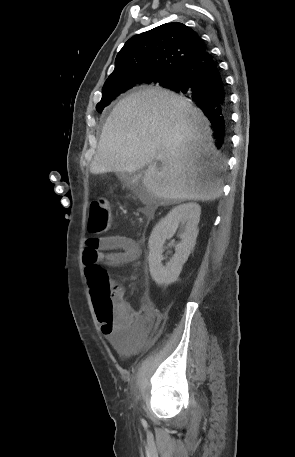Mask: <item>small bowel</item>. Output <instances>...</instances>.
Here are the masks:
<instances>
[{
	"mask_svg": "<svg viewBox=\"0 0 295 457\" xmlns=\"http://www.w3.org/2000/svg\"><path fill=\"white\" fill-rule=\"evenodd\" d=\"M139 255L140 247L133 238L121 235L88 237L83 262L85 267L90 262H101L115 268L135 261ZM116 295L119 300L117 313L110 322L98 319L101 331L107 338H131L142 329L152 307L147 304L142 310H134L124 300V290L120 286H116Z\"/></svg>",
	"mask_w": 295,
	"mask_h": 457,
	"instance_id": "obj_1",
	"label": "small bowel"
}]
</instances>
